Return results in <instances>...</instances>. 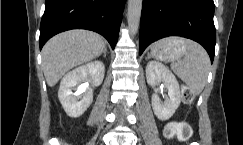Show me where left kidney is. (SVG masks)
I'll list each match as a JSON object with an SVG mask.
<instances>
[{"instance_id": "left-kidney-1", "label": "left kidney", "mask_w": 243, "mask_h": 145, "mask_svg": "<svg viewBox=\"0 0 243 145\" xmlns=\"http://www.w3.org/2000/svg\"><path fill=\"white\" fill-rule=\"evenodd\" d=\"M147 83L151 86L164 83L169 99L162 104L157 93L152 95V108L156 117L166 121L172 117L180 105V87L175 76L162 63L150 61L146 67Z\"/></svg>"}]
</instances>
